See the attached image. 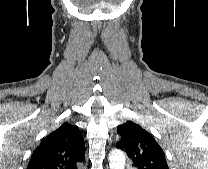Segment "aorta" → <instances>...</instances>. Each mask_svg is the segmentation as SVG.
<instances>
[{
    "mask_svg": "<svg viewBox=\"0 0 208 169\" xmlns=\"http://www.w3.org/2000/svg\"><path fill=\"white\" fill-rule=\"evenodd\" d=\"M110 169L125 168V154L120 150H114L109 155Z\"/></svg>",
    "mask_w": 208,
    "mask_h": 169,
    "instance_id": "aorta-1",
    "label": "aorta"
}]
</instances>
